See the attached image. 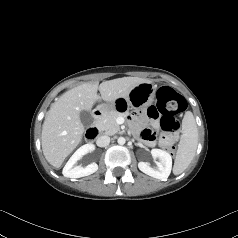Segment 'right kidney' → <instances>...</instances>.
<instances>
[{
	"label": "right kidney",
	"instance_id": "ca27d5eb",
	"mask_svg": "<svg viewBox=\"0 0 238 238\" xmlns=\"http://www.w3.org/2000/svg\"><path fill=\"white\" fill-rule=\"evenodd\" d=\"M93 149L94 147L91 144H85L77 149L63 168V175L69 178H80L96 172L98 170V165L96 163H91L86 167L75 165L78 160L88 152L93 151Z\"/></svg>",
	"mask_w": 238,
	"mask_h": 238
}]
</instances>
